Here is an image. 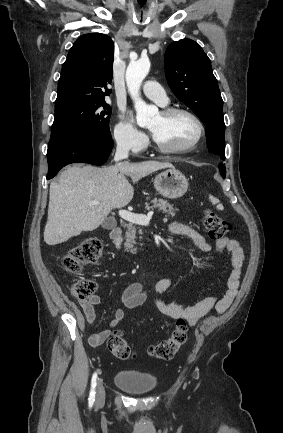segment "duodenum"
Wrapping results in <instances>:
<instances>
[{
    "instance_id": "duodenum-1",
    "label": "duodenum",
    "mask_w": 283,
    "mask_h": 433,
    "mask_svg": "<svg viewBox=\"0 0 283 433\" xmlns=\"http://www.w3.org/2000/svg\"><path fill=\"white\" fill-rule=\"evenodd\" d=\"M110 239L114 244L119 245L122 240V229L120 227H115L110 231Z\"/></svg>"
}]
</instances>
